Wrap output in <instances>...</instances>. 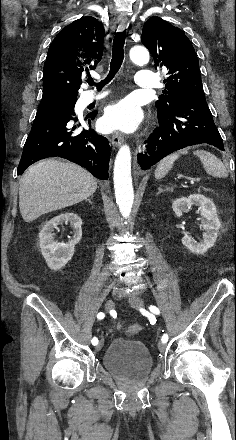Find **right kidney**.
I'll return each instance as SVG.
<instances>
[{"mask_svg":"<svg viewBox=\"0 0 236 440\" xmlns=\"http://www.w3.org/2000/svg\"><path fill=\"white\" fill-rule=\"evenodd\" d=\"M70 223L73 228V238L68 244L58 243L54 239V229L63 223ZM82 220L74 213L60 214L48 221L39 233V243L43 257L48 267L59 270L64 267L74 255V248L82 237Z\"/></svg>","mask_w":236,"mask_h":440,"instance_id":"right-kidney-1","label":"right kidney"}]
</instances>
